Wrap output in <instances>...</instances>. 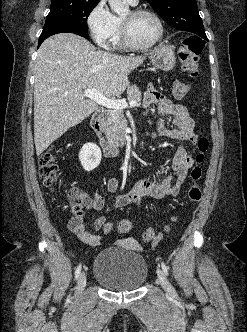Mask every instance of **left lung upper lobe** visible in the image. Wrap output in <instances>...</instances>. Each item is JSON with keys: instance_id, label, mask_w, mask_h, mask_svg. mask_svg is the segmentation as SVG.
<instances>
[{"instance_id": "obj_1", "label": "left lung upper lobe", "mask_w": 247, "mask_h": 332, "mask_svg": "<svg viewBox=\"0 0 247 332\" xmlns=\"http://www.w3.org/2000/svg\"><path fill=\"white\" fill-rule=\"evenodd\" d=\"M172 27L196 34L207 40L196 0H147Z\"/></svg>"}]
</instances>
